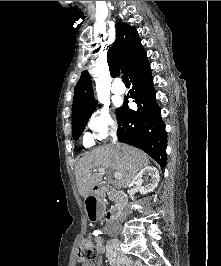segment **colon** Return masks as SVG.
<instances>
[{
	"instance_id": "1",
	"label": "colon",
	"mask_w": 221,
	"mask_h": 266,
	"mask_svg": "<svg viewBox=\"0 0 221 266\" xmlns=\"http://www.w3.org/2000/svg\"><path fill=\"white\" fill-rule=\"evenodd\" d=\"M78 258L85 262H92L97 258V249L88 236H85L80 243Z\"/></svg>"
}]
</instances>
